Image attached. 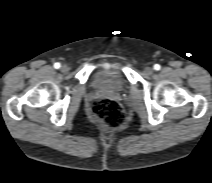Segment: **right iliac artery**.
Wrapping results in <instances>:
<instances>
[{
  "label": "right iliac artery",
  "instance_id": "82829eb1",
  "mask_svg": "<svg viewBox=\"0 0 212 183\" xmlns=\"http://www.w3.org/2000/svg\"><path fill=\"white\" fill-rule=\"evenodd\" d=\"M60 66H61L60 63H58V62L54 64V68H56V69H59Z\"/></svg>",
  "mask_w": 212,
  "mask_h": 183
}]
</instances>
